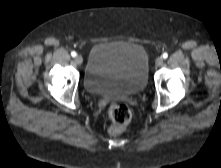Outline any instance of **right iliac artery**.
<instances>
[{"label": "right iliac artery", "instance_id": "82829eb1", "mask_svg": "<svg viewBox=\"0 0 221 168\" xmlns=\"http://www.w3.org/2000/svg\"><path fill=\"white\" fill-rule=\"evenodd\" d=\"M71 56H72V57H75V56H76V52H75V51H72V52H71Z\"/></svg>", "mask_w": 221, "mask_h": 168}]
</instances>
